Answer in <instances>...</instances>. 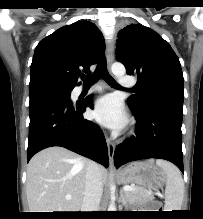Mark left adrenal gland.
Listing matches in <instances>:
<instances>
[{
    "label": "left adrenal gland",
    "instance_id": "1",
    "mask_svg": "<svg viewBox=\"0 0 203 219\" xmlns=\"http://www.w3.org/2000/svg\"><path fill=\"white\" fill-rule=\"evenodd\" d=\"M119 202L122 203V205H120V207H122V206H127V200H126V197H125L124 192H123L122 189L120 190Z\"/></svg>",
    "mask_w": 203,
    "mask_h": 219
}]
</instances>
